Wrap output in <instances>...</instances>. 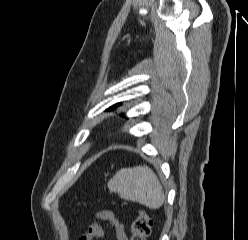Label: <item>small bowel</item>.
Wrapping results in <instances>:
<instances>
[{
	"label": "small bowel",
	"mask_w": 248,
	"mask_h": 240,
	"mask_svg": "<svg viewBox=\"0 0 248 240\" xmlns=\"http://www.w3.org/2000/svg\"><path fill=\"white\" fill-rule=\"evenodd\" d=\"M97 218L108 222L112 226L116 240H128L125 225L114 211L109 209L102 210L97 213ZM103 235L102 226L95 222L88 226L78 240H94L103 237Z\"/></svg>",
	"instance_id": "obj_1"
}]
</instances>
